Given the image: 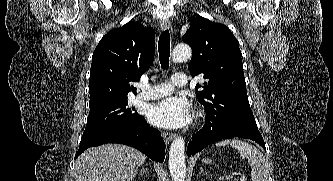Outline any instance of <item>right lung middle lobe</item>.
Instances as JSON below:
<instances>
[{
  "label": "right lung middle lobe",
  "instance_id": "1",
  "mask_svg": "<svg viewBox=\"0 0 333 181\" xmlns=\"http://www.w3.org/2000/svg\"><path fill=\"white\" fill-rule=\"evenodd\" d=\"M127 105V99H123L91 108L83 134L126 124L140 116L137 112H133L134 108H129Z\"/></svg>",
  "mask_w": 333,
  "mask_h": 181
}]
</instances>
